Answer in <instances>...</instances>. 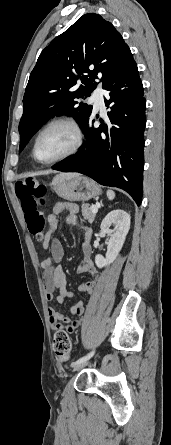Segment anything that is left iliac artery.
<instances>
[{"label":"left iliac artery","instance_id":"left-iliac-artery-1","mask_svg":"<svg viewBox=\"0 0 171 445\" xmlns=\"http://www.w3.org/2000/svg\"><path fill=\"white\" fill-rule=\"evenodd\" d=\"M94 353H95L94 350L91 351V352L88 353L87 355H85V356L79 358L77 361L73 362V363L71 364V366L74 367V366L78 365L79 363H81V362H83V361H86L87 359H90V358L94 355Z\"/></svg>","mask_w":171,"mask_h":445}]
</instances>
